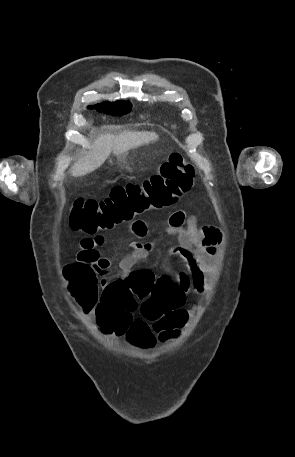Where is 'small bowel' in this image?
<instances>
[{
    "instance_id": "c3829d8e",
    "label": "small bowel",
    "mask_w": 295,
    "mask_h": 457,
    "mask_svg": "<svg viewBox=\"0 0 295 457\" xmlns=\"http://www.w3.org/2000/svg\"><path fill=\"white\" fill-rule=\"evenodd\" d=\"M127 231L138 240L129 243L131 252L119 264L123 280L134 271L136 264L147 258L153 248L152 242L141 241L147 235V225L143 220L137 219L131 222L127 226ZM166 233L177 239V245L170 249V255L178 257L185 263V270L179 272L175 280L176 299L183 306L190 292L200 294L204 291L205 277L214 270L222 235L221 231L214 226L199 227L197 217L186 216L183 210H176L170 215ZM104 242L105 236L102 234L82 238L77 261L88 262L106 270L110 262L98 250ZM108 282L104 280L103 286Z\"/></svg>"
}]
</instances>
